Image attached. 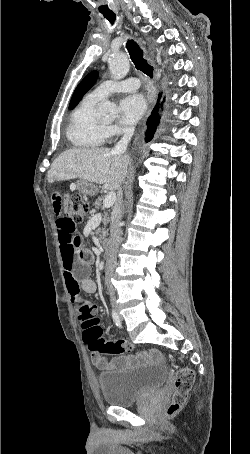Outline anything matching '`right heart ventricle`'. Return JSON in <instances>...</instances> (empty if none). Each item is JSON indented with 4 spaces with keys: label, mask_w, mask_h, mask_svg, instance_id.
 Masks as SVG:
<instances>
[{
    "label": "right heart ventricle",
    "mask_w": 250,
    "mask_h": 454,
    "mask_svg": "<svg viewBox=\"0 0 250 454\" xmlns=\"http://www.w3.org/2000/svg\"><path fill=\"white\" fill-rule=\"evenodd\" d=\"M100 100L89 95L73 110L67 128V138L73 147L93 149L105 143L109 129L97 115Z\"/></svg>",
    "instance_id": "obj_1"
}]
</instances>
